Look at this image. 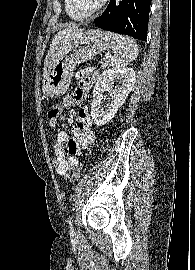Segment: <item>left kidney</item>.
Wrapping results in <instances>:
<instances>
[{"instance_id": "5707ae66", "label": "left kidney", "mask_w": 195, "mask_h": 270, "mask_svg": "<svg viewBox=\"0 0 195 270\" xmlns=\"http://www.w3.org/2000/svg\"><path fill=\"white\" fill-rule=\"evenodd\" d=\"M118 81L121 86L113 90L111 85ZM135 83V71L132 68H111L105 70L99 77L93 89V101L91 105V117L97 126L109 122L117 113ZM108 92L113 101L108 108L103 109L104 93Z\"/></svg>"}]
</instances>
